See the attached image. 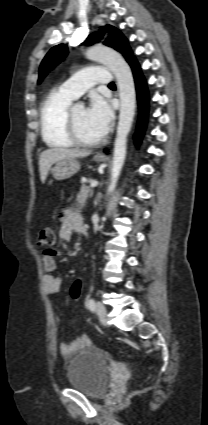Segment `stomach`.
Listing matches in <instances>:
<instances>
[{
  "label": "stomach",
  "mask_w": 208,
  "mask_h": 425,
  "mask_svg": "<svg viewBox=\"0 0 208 425\" xmlns=\"http://www.w3.org/2000/svg\"><path fill=\"white\" fill-rule=\"evenodd\" d=\"M95 161L102 162L104 159L95 158ZM80 170V164L75 159H64L55 163L52 175L56 180H65L75 175Z\"/></svg>",
  "instance_id": "1"
}]
</instances>
